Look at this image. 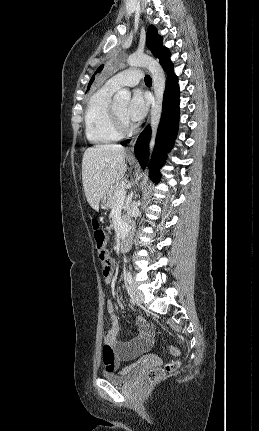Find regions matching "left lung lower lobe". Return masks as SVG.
<instances>
[{"label":"left lung lower lobe","mask_w":259,"mask_h":431,"mask_svg":"<svg viewBox=\"0 0 259 431\" xmlns=\"http://www.w3.org/2000/svg\"><path fill=\"white\" fill-rule=\"evenodd\" d=\"M160 64L167 73V84L163 98L162 117L158 129L156 146L150 163V177L154 182L160 178L159 169L165 160V151L171 149L178 130L179 121V85L170 60V52L166 48L159 58ZM151 136L150 127H146L140 134L135 145V155L142 166L145 167L148 158V144ZM128 141L122 143L126 144Z\"/></svg>","instance_id":"1"}]
</instances>
